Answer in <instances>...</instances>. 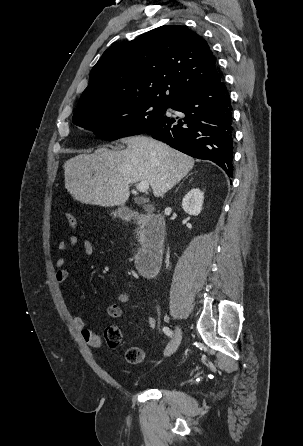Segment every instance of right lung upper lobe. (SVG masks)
Returning <instances> with one entry per match:
<instances>
[{
	"label": "right lung upper lobe",
	"mask_w": 303,
	"mask_h": 446,
	"mask_svg": "<svg viewBox=\"0 0 303 446\" xmlns=\"http://www.w3.org/2000/svg\"><path fill=\"white\" fill-rule=\"evenodd\" d=\"M221 79L201 36L184 26L164 25L108 48L93 67L74 115L138 100L172 105Z\"/></svg>",
	"instance_id": "right-lung-upper-lobe-1"
}]
</instances>
